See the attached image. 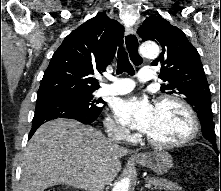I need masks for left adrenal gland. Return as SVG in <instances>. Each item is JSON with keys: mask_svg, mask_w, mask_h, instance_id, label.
Returning a JSON list of instances; mask_svg holds the SVG:
<instances>
[{"mask_svg": "<svg viewBox=\"0 0 221 191\" xmlns=\"http://www.w3.org/2000/svg\"><path fill=\"white\" fill-rule=\"evenodd\" d=\"M143 190H144V188H141V189H140V191H143Z\"/></svg>", "mask_w": 221, "mask_h": 191, "instance_id": "obj_1", "label": "left adrenal gland"}]
</instances>
